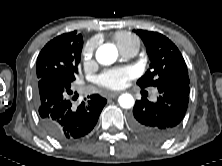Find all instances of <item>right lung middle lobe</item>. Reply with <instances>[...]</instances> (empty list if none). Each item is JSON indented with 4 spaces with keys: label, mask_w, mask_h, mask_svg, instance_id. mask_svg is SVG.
I'll return each instance as SVG.
<instances>
[{
    "label": "right lung middle lobe",
    "mask_w": 222,
    "mask_h": 166,
    "mask_svg": "<svg viewBox=\"0 0 222 166\" xmlns=\"http://www.w3.org/2000/svg\"><path fill=\"white\" fill-rule=\"evenodd\" d=\"M82 47V35L76 31L70 32L65 40L48 42L37 57V79L60 74L73 82L78 74Z\"/></svg>",
    "instance_id": "dd1d6c3e"
}]
</instances>
